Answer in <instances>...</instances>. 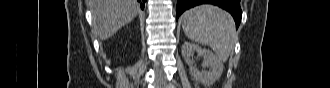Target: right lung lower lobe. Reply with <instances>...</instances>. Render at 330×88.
<instances>
[{"label": "right lung lower lobe", "instance_id": "1", "mask_svg": "<svg viewBox=\"0 0 330 88\" xmlns=\"http://www.w3.org/2000/svg\"><path fill=\"white\" fill-rule=\"evenodd\" d=\"M137 1L141 3V8L143 9L144 8V3L146 2V0H137Z\"/></svg>", "mask_w": 330, "mask_h": 88}]
</instances>
